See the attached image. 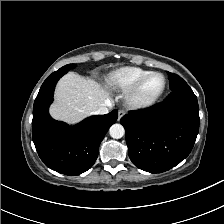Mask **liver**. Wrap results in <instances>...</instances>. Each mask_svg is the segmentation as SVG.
<instances>
[{"instance_id": "1", "label": "liver", "mask_w": 224, "mask_h": 224, "mask_svg": "<svg viewBox=\"0 0 224 224\" xmlns=\"http://www.w3.org/2000/svg\"><path fill=\"white\" fill-rule=\"evenodd\" d=\"M110 94L108 87L70 72L58 82L50 114L54 119L75 124L94 114L106 101L112 102Z\"/></svg>"}]
</instances>
